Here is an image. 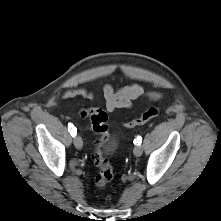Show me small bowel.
I'll return each mask as SVG.
<instances>
[{
  "instance_id": "c3829d8e",
  "label": "small bowel",
  "mask_w": 221,
  "mask_h": 221,
  "mask_svg": "<svg viewBox=\"0 0 221 221\" xmlns=\"http://www.w3.org/2000/svg\"><path fill=\"white\" fill-rule=\"evenodd\" d=\"M106 108L109 112H113L119 108H129L132 105V101L144 94L143 89L137 83H131L129 85L115 88L111 85H105L103 89ZM77 96L85 98H91L92 93L84 88H71L64 92L63 98L69 99ZM151 99H157L159 95L157 93H150Z\"/></svg>"
}]
</instances>
